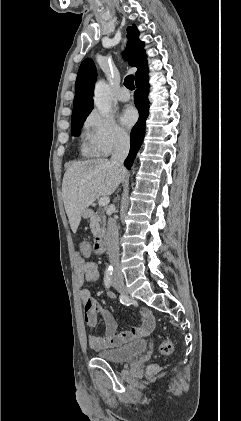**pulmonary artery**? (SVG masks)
I'll list each match as a JSON object with an SVG mask.
<instances>
[{
  "label": "pulmonary artery",
  "mask_w": 241,
  "mask_h": 421,
  "mask_svg": "<svg viewBox=\"0 0 241 421\" xmlns=\"http://www.w3.org/2000/svg\"><path fill=\"white\" fill-rule=\"evenodd\" d=\"M130 97V93L126 88H122L117 94V99L121 102H126L130 100Z\"/></svg>",
  "instance_id": "e3ab8cb5"
}]
</instances>
